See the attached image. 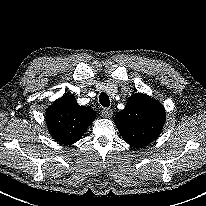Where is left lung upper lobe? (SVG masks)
Wrapping results in <instances>:
<instances>
[{"instance_id": "1", "label": "left lung upper lobe", "mask_w": 206, "mask_h": 206, "mask_svg": "<svg viewBox=\"0 0 206 206\" xmlns=\"http://www.w3.org/2000/svg\"><path fill=\"white\" fill-rule=\"evenodd\" d=\"M165 119L164 107L158 100L136 93L128 98L126 107L116 114L115 124L125 142L138 149L160 135Z\"/></svg>"}]
</instances>
